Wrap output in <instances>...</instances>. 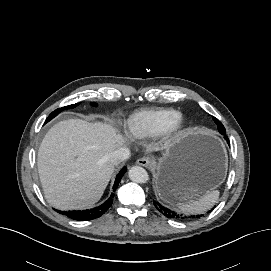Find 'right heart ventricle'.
Masks as SVG:
<instances>
[{"label":"right heart ventricle","instance_id":"obj_1","mask_svg":"<svg viewBox=\"0 0 271 271\" xmlns=\"http://www.w3.org/2000/svg\"><path fill=\"white\" fill-rule=\"evenodd\" d=\"M177 115L174 109L141 110L127 119L126 130L132 138L151 137L165 132Z\"/></svg>","mask_w":271,"mask_h":271}]
</instances>
